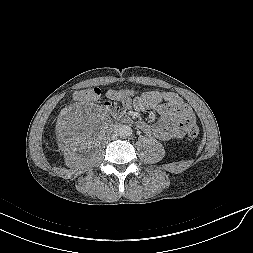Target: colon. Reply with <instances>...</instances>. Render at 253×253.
<instances>
[{
	"label": "colon",
	"mask_w": 253,
	"mask_h": 253,
	"mask_svg": "<svg viewBox=\"0 0 253 253\" xmlns=\"http://www.w3.org/2000/svg\"><path fill=\"white\" fill-rule=\"evenodd\" d=\"M134 94L133 90L110 91L107 93L108 99L127 100ZM101 95V90L97 87L90 88L79 92L78 96L81 99L95 100ZM187 134L191 138H195L199 134V128L196 124H191L188 127Z\"/></svg>",
	"instance_id": "obj_1"
}]
</instances>
